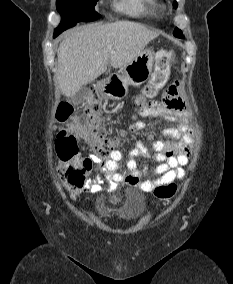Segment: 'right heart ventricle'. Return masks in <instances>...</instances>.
Wrapping results in <instances>:
<instances>
[{"mask_svg":"<svg viewBox=\"0 0 233 284\" xmlns=\"http://www.w3.org/2000/svg\"><path fill=\"white\" fill-rule=\"evenodd\" d=\"M162 6L158 0H119L117 9L133 16L155 18Z\"/></svg>","mask_w":233,"mask_h":284,"instance_id":"1","label":"right heart ventricle"}]
</instances>
